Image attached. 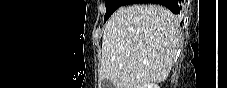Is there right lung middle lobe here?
Instances as JSON below:
<instances>
[{
	"label": "right lung middle lobe",
	"instance_id": "1",
	"mask_svg": "<svg viewBox=\"0 0 227 88\" xmlns=\"http://www.w3.org/2000/svg\"><path fill=\"white\" fill-rule=\"evenodd\" d=\"M129 0H106L105 6H106V14L104 16V22L108 20V18L114 13L116 9H118L120 6L129 4Z\"/></svg>",
	"mask_w": 227,
	"mask_h": 88
}]
</instances>
